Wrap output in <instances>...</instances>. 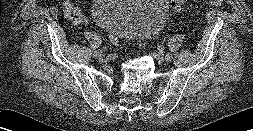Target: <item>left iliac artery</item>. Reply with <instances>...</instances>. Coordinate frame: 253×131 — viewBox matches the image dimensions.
<instances>
[{
    "mask_svg": "<svg viewBox=\"0 0 253 131\" xmlns=\"http://www.w3.org/2000/svg\"><path fill=\"white\" fill-rule=\"evenodd\" d=\"M155 50H156L157 52H164V51L166 50V47H165L164 45H157V46L155 47Z\"/></svg>",
    "mask_w": 253,
    "mask_h": 131,
    "instance_id": "1",
    "label": "left iliac artery"
}]
</instances>
